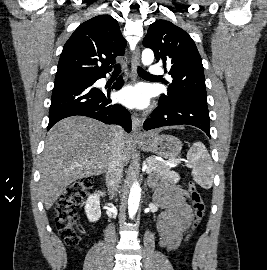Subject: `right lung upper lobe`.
Segmentation results:
<instances>
[{"mask_svg":"<svg viewBox=\"0 0 267 270\" xmlns=\"http://www.w3.org/2000/svg\"><path fill=\"white\" fill-rule=\"evenodd\" d=\"M125 47L126 40L113 17H93L82 23L65 43L56 76L105 74L111 71L115 58L124 55Z\"/></svg>","mask_w":267,"mask_h":270,"instance_id":"obj_1","label":"right lung upper lobe"}]
</instances>
